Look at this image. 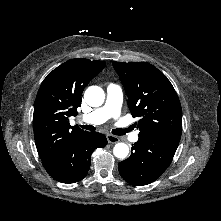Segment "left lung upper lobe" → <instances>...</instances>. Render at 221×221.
Instances as JSON below:
<instances>
[{"label": "left lung upper lobe", "instance_id": "1", "mask_svg": "<svg viewBox=\"0 0 221 221\" xmlns=\"http://www.w3.org/2000/svg\"><path fill=\"white\" fill-rule=\"evenodd\" d=\"M128 96L139 138L177 149L182 133V108L168 78L147 62H113Z\"/></svg>", "mask_w": 221, "mask_h": 221}]
</instances>
